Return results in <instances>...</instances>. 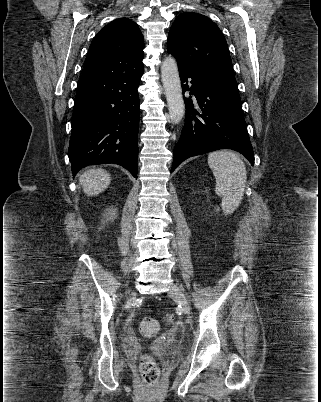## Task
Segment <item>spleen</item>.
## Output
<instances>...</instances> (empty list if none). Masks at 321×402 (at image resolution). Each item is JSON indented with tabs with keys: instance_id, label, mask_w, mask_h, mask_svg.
<instances>
[{
	"instance_id": "obj_1",
	"label": "spleen",
	"mask_w": 321,
	"mask_h": 402,
	"mask_svg": "<svg viewBox=\"0 0 321 402\" xmlns=\"http://www.w3.org/2000/svg\"><path fill=\"white\" fill-rule=\"evenodd\" d=\"M208 165L216 178L215 192L222 197V209L232 213L244 196L247 172L238 154L214 151L208 155Z\"/></svg>"
}]
</instances>
